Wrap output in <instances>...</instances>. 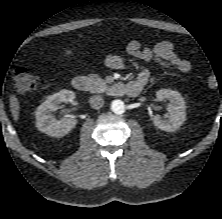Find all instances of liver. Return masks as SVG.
<instances>
[{
    "label": "liver",
    "instance_id": "obj_1",
    "mask_svg": "<svg viewBox=\"0 0 222 219\" xmlns=\"http://www.w3.org/2000/svg\"><path fill=\"white\" fill-rule=\"evenodd\" d=\"M10 111L15 121L19 118L20 105L19 100L15 95L10 96Z\"/></svg>",
    "mask_w": 222,
    "mask_h": 219
}]
</instances>
